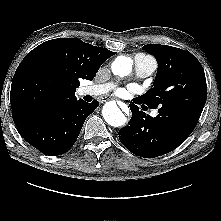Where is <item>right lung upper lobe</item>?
I'll list each match as a JSON object with an SVG mask.
<instances>
[{
  "label": "right lung upper lobe",
  "instance_id": "right-lung-upper-lobe-1",
  "mask_svg": "<svg viewBox=\"0 0 221 221\" xmlns=\"http://www.w3.org/2000/svg\"><path fill=\"white\" fill-rule=\"evenodd\" d=\"M114 54L74 38L53 39L34 48L12 80L10 99L15 124L31 114L77 100L79 80H92Z\"/></svg>",
  "mask_w": 221,
  "mask_h": 221
}]
</instances>
